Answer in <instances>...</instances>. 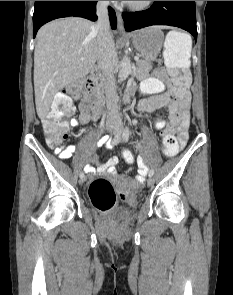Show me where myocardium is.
Listing matches in <instances>:
<instances>
[{
	"instance_id": "obj_1",
	"label": "myocardium",
	"mask_w": 233,
	"mask_h": 295,
	"mask_svg": "<svg viewBox=\"0 0 233 295\" xmlns=\"http://www.w3.org/2000/svg\"><path fill=\"white\" fill-rule=\"evenodd\" d=\"M153 3L154 1H142L139 3L126 2V5L130 10L140 12L150 8Z\"/></svg>"
}]
</instances>
